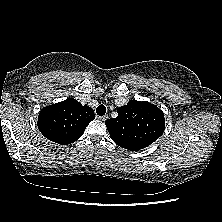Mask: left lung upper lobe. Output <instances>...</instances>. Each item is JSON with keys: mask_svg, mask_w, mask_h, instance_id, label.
Masks as SVG:
<instances>
[{"mask_svg": "<svg viewBox=\"0 0 222 222\" xmlns=\"http://www.w3.org/2000/svg\"><path fill=\"white\" fill-rule=\"evenodd\" d=\"M118 116L105 121L111 139L128 150H141L164 132L163 112L149 102L129 101L117 109Z\"/></svg>", "mask_w": 222, "mask_h": 222, "instance_id": "5c2ea615", "label": "left lung upper lobe"}]
</instances>
